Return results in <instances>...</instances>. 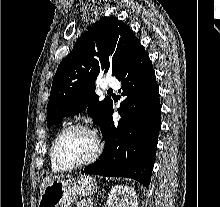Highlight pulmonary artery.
Here are the masks:
<instances>
[{"label": "pulmonary artery", "instance_id": "pulmonary-artery-1", "mask_svg": "<svg viewBox=\"0 0 220 207\" xmlns=\"http://www.w3.org/2000/svg\"><path fill=\"white\" fill-rule=\"evenodd\" d=\"M120 87V83L116 78L108 77L104 80L102 84L103 89H118Z\"/></svg>", "mask_w": 220, "mask_h": 207}]
</instances>
